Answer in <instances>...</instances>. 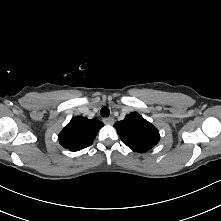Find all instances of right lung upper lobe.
I'll return each mask as SVG.
<instances>
[{"instance_id": "right-lung-upper-lobe-1", "label": "right lung upper lobe", "mask_w": 221, "mask_h": 221, "mask_svg": "<svg viewBox=\"0 0 221 221\" xmlns=\"http://www.w3.org/2000/svg\"><path fill=\"white\" fill-rule=\"evenodd\" d=\"M104 124L97 118L77 116L71 119L59 134L60 144L70 151H79L92 144Z\"/></svg>"}]
</instances>
